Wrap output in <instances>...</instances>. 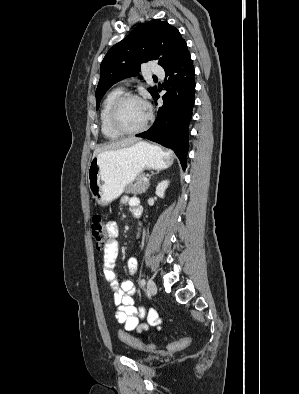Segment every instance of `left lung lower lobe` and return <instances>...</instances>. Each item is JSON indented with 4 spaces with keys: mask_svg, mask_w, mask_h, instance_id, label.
<instances>
[{
    "mask_svg": "<svg viewBox=\"0 0 299 394\" xmlns=\"http://www.w3.org/2000/svg\"><path fill=\"white\" fill-rule=\"evenodd\" d=\"M164 70L166 83L163 86L167 92L162 97L163 105L152 127L136 136L171 148L185 170L189 122L195 101L194 66L187 45ZM153 98L156 102L158 91Z\"/></svg>",
    "mask_w": 299,
    "mask_h": 394,
    "instance_id": "0a47b994",
    "label": "left lung lower lobe"
}]
</instances>
